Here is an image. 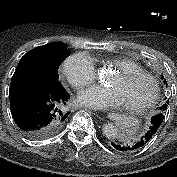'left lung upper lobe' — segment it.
I'll return each mask as SVG.
<instances>
[{"instance_id": "left-lung-upper-lobe-1", "label": "left lung upper lobe", "mask_w": 177, "mask_h": 177, "mask_svg": "<svg viewBox=\"0 0 177 177\" xmlns=\"http://www.w3.org/2000/svg\"><path fill=\"white\" fill-rule=\"evenodd\" d=\"M162 79H163V76H162ZM164 83H166V81L164 80ZM167 85V84H166ZM167 108V104H164L162 107H160V112H164Z\"/></svg>"}]
</instances>
